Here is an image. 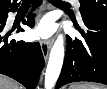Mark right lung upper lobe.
<instances>
[{
  "label": "right lung upper lobe",
  "instance_id": "right-lung-upper-lobe-1",
  "mask_svg": "<svg viewBox=\"0 0 107 89\" xmlns=\"http://www.w3.org/2000/svg\"><path fill=\"white\" fill-rule=\"evenodd\" d=\"M16 2L17 0H13V2L11 0H0V10L9 8L11 5H15Z\"/></svg>",
  "mask_w": 107,
  "mask_h": 89
}]
</instances>
